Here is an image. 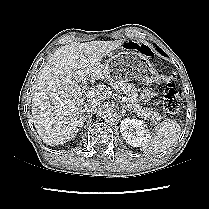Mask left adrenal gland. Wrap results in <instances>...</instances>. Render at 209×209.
Here are the masks:
<instances>
[{
    "label": "left adrenal gland",
    "mask_w": 209,
    "mask_h": 209,
    "mask_svg": "<svg viewBox=\"0 0 209 209\" xmlns=\"http://www.w3.org/2000/svg\"><path fill=\"white\" fill-rule=\"evenodd\" d=\"M127 110L129 111V109H127L126 105L122 104V114H125Z\"/></svg>",
    "instance_id": "1"
}]
</instances>
